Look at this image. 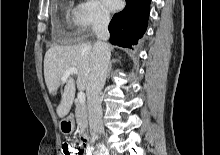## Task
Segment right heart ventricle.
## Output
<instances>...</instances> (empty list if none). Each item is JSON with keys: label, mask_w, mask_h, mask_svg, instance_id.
<instances>
[{"label": "right heart ventricle", "mask_w": 220, "mask_h": 155, "mask_svg": "<svg viewBox=\"0 0 220 155\" xmlns=\"http://www.w3.org/2000/svg\"><path fill=\"white\" fill-rule=\"evenodd\" d=\"M74 19H75V9H73L70 5H67L64 11L65 24L68 27H71Z\"/></svg>", "instance_id": "right-heart-ventricle-1"}]
</instances>
